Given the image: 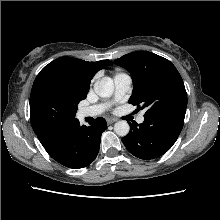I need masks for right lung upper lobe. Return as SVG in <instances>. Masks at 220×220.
Masks as SVG:
<instances>
[{
	"mask_svg": "<svg viewBox=\"0 0 220 220\" xmlns=\"http://www.w3.org/2000/svg\"><path fill=\"white\" fill-rule=\"evenodd\" d=\"M108 63L109 60L87 62L72 57H60L46 65L40 71L38 76L47 74H61L70 76L77 81L76 92L83 99H85L89 91L90 80L97 71L104 68ZM34 132L43 146L52 141L59 133L43 132L38 129H34Z\"/></svg>",
	"mask_w": 220,
	"mask_h": 220,
	"instance_id": "1",
	"label": "right lung upper lobe"
}]
</instances>
